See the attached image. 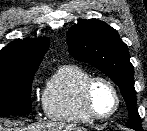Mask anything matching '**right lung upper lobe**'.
Masks as SVG:
<instances>
[{
	"label": "right lung upper lobe",
	"instance_id": "obj_1",
	"mask_svg": "<svg viewBox=\"0 0 147 131\" xmlns=\"http://www.w3.org/2000/svg\"><path fill=\"white\" fill-rule=\"evenodd\" d=\"M48 46V38L15 40L0 50V70H36Z\"/></svg>",
	"mask_w": 147,
	"mask_h": 131
}]
</instances>
